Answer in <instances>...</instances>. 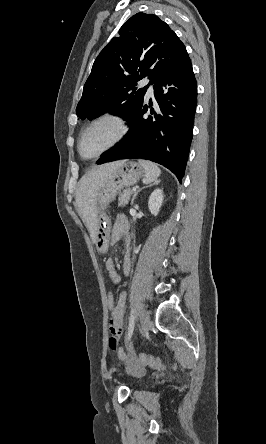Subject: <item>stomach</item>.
Instances as JSON below:
<instances>
[{
	"mask_svg": "<svg viewBox=\"0 0 266 444\" xmlns=\"http://www.w3.org/2000/svg\"><path fill=\"white\" fill-rule=\"evenodd\" d=\"M145 174L143 167L134 161H124L111 177L101 186L96 197V241L105 239L109 233L110 221L105 209L118 192L134 185ZM102 249L101 246H99Z\"/></svg>",
	"mask_w": 266,
	"mask_h": 444,
	"instance_id": "obj_1",
	"label": "stomach"
}]
</instances>
